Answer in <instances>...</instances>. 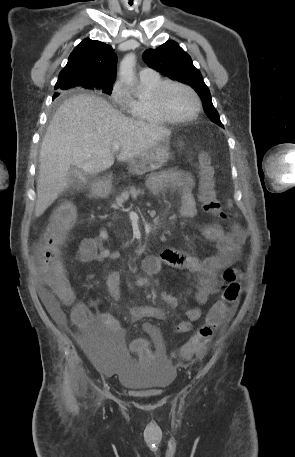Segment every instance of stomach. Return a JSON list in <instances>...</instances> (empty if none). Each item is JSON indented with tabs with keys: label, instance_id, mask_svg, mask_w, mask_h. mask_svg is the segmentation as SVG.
Listing matches in <instances>:
<instances>
[{
	"label": "stomach",
	"instance_id": "stomach-1",
	"mask_svg": "<svg viewBox=\"0 0 295 457\" xmlns=\"http://www.w3.org/2000/svg\"><path fill=\"white\" fill-rule=\"evenodd\" d=\"M171 157L170 142L161 141L149 150L141 153L130 160L129 171L136 175H142L161 167ZM92 188L100 194H108L111 190L110 179H104L93 183Z\"/></svg>",
	"mask_w": 295,
	"mask_h": 457
}]
</instances>
